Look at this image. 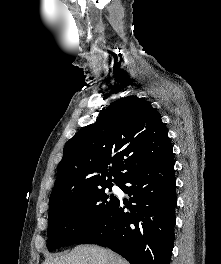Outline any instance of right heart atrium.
Masks as SVG:
<instances>
[{"mask_svg": "<svg viewBox=\"0 0 221 264\" xmlns=\"http://www.w3.org/2000/svg\"><path fill=\"white\" fill-rule=\"evenodd\" d=\"M83 212H84V213H86V212H87V209H86V208H84V209H83Z\"/></svg>", "mask_w": 221, "mask_h": 264, "instance_id": "d8ad5b80", "label": "right heart atrium"}]
</instances>
